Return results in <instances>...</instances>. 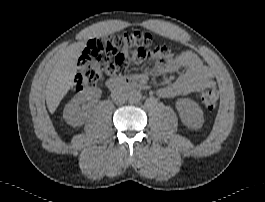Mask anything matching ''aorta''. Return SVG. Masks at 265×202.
Here are the masks:
<instances>
[{
    "instance_id": "obj_1",
    "label": "aorta",
    "mask_w": 265,
    "mask_h": 202,
    "mask_svg": "<svg viewBox=\"0 0 265 202\" xmlns=\"http://www.w3.org/2000/svg\"><path fill=\"white\" fill-rule=\"evenodd\" d=\"M141 92L138 91V90H131L128 94V100L131 102V103H137L141 100Z\"/></svg>"
}]
</instances>
